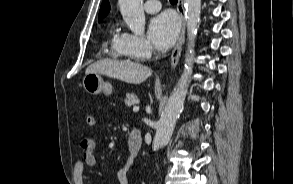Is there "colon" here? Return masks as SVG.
Instances as JSON below:
<instances>
[{"instance_id":"colon-1","label":"colon","mask_w":293,"mask_h":184,"mask_svg":"<svg viewBox=\"0 0 293 184\" xmlns=\"http://www.w3.org/2000/svg\"><path fill=\"white\" fill-rule=\"evenodd\" d=\"M86 123H87V126L89 127H93L95 125L96 120L93 114H87Z\"/></svg>"}]
</instances>
